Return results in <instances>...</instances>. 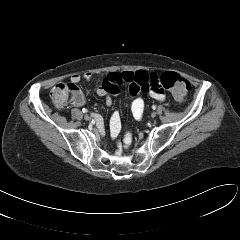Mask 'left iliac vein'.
Returning a JSON list of instances; mask_svg holds the SVG:
<instances>
[{"label":"left iliac vein","mask_w":240,"mask_h":240,"mask_svg":"<svg viewBox=\"0 0 240 240\" xmlns=\"http://www.w3.org/2000/svg\"><path fill=\"white\" fill-rule=\"evenodd\" d=\"M155 116H156V113L153 112V113L151 114V117L154 118Z\"/></svg>","instance_id":"4c4485c4"}]
</instances>
